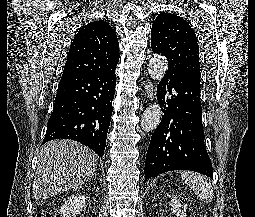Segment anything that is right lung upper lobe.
<instances>
[{
	"instance_id": "obj_1",
	"label": "right lung upper lobe",
	"mask_w": 255,
	"mask_h": 217,
	"mask_svg": "<svg viewBox=\"0 0 255 217\" xmlns=\"http://www.w3.org/2000/svg\"><path fill=\"white\" fill-rule=\"evenodd\" d=\"M119 61V43L109 24L97 20L83 26L70 46L63 73H104Z\"/></svg>"
}]
</instances>
